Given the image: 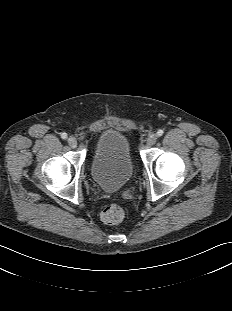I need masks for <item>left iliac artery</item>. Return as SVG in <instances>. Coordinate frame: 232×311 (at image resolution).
<instances>
[{
  "label": "left iliac artery",
  "mask_w": 232,
  "mask_h": 311,
  "mask_svg": "<svg viewBox=\"0 0 232 311\" xmlns=\"http://www.w3.org/2000/svg\"><path fill=\"white\" fill-rule=\"evenodd\" d=\"M163 133H164V131L162 129H159L156 134L158 137H160L163 135Z\"/></svg>",
  "instance_id": "1"
}]
</instances>
